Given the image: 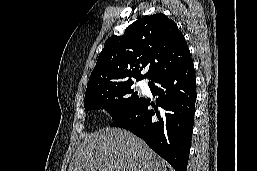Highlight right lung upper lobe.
Wrapping results in <instances>:
<instances>
[{
  "mask_svg": "<svg viewBox=\"0 0 257 171\" xmlns=\"http://www.w3.org/2000/svg\"><path fill=\"white\" fill-rule=\"evenodd\" d=\"M176 23L162 13L145 16L127 27L122 36L109 38L99 54L86 92L133 82L177 69L191 60ZM143 68H148L141 75Z\"/></svg>",
  "mask_w": 257,
  "mask_h": 171,
  "instance_id": "right-lung-upper-lobe-1",
  "label": "right lung upper lobe"
}]
</instances>
